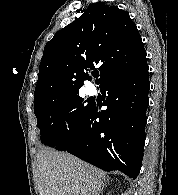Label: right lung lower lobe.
I'll use <instances>...</instances> for the list:
<instances>
[{"label":"right lung lower lobe","mask_w":178,"mask_h":195,"mask_svg":"<svg viewBox=\"0 0 178 195\" xmlns=\"http://www.w3.org/2000/svg\"><path fill=\"white\" fill-rule=\"evenodd\" d=\"M104 111L92 104L73 136L56 146L105 171L119 170L136 178L143 159L146 109L149 105L148 65L100 85Z\"/></svg>","instance_id":"obj_1"}]
</instances>
